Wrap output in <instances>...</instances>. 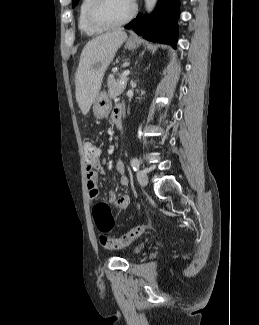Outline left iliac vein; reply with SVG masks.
I'll return each instance as SVG.
<instances>
[{
  "label": "left iliac vein",
  "mask_w": 259,
  "mask_h": 325,
  "mask_svg": "<svg viewBox=\"0 0 259 325\" xmlns=\"http://www.w3.org/2000/svg\"><path fill=\"white\" fill-rule=\"evenodd\" d=\"M137 179L140 185L145 186L148 183V176L145 170H139L137 172Z\"/></svg>",
  "instance_id": "1"
}]
</instances>
